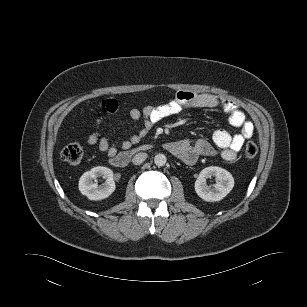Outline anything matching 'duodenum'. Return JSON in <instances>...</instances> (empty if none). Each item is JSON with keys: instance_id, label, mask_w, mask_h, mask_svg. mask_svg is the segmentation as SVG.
Masks as SVG:
<instances>
[{"instance_id": "1", "label": "duodenum", "mask_w": 307, "mask_h": 307, "mask_svg": "<svg viewBox=\"0 0 307 307\" xmlns=\"http://www.w3.org/2000/svg\"><path fill=\"white\" fill-rule=\"evenodd\" d=\"M149 148L150 146L145 144V145H140L138 147H134L132 149L120 152L114 158L111 159V164L117 168H125L130 163V160L133 157V155L139 152L146 151Z\"/></svg>"}]
</instances>
